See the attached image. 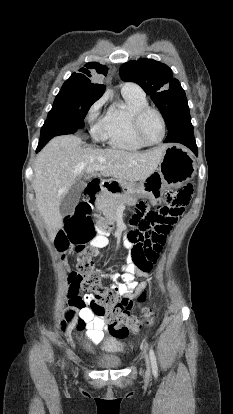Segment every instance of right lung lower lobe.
Instances as JSON below:
<instances>
[{"label":"right lung lower lobe","mask_w":233,"mask_h":414,"mask_svg":"<svg viewBox=\"0 0 233 414\" xmlns=\"http://www.w3.org/2000/svg\"><path fill=\"white\" fill-rule=\"evenodd\" d=\"M78 128L63 122L56 120H46L41 128L40 140L36 152L40 151L47 142L55 136L72 134L76 132Z\"/></svg>","instance_id":"98d812e1"}]
</instances>
